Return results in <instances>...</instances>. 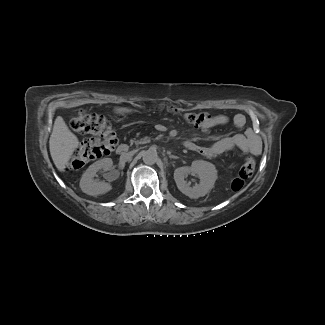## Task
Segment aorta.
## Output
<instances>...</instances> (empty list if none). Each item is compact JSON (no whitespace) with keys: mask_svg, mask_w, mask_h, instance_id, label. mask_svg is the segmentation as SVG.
Returning <instances> with one entry per match:
<instances>
[{"mask_svg":"<svg viewBox=\"0 0 325 325\" xmlns=\"http://www.w3.org/2000/svg\"><path fill=\"white\" fill-rule=\"evenodd\" d=\"M142 159L145 164L152 165L158 160V154L156 150L148 149L142 151Z\"/></svg>","mask_w":325,"mask_h":325,"instance_id":"762f6f07","label":"aorta"}]
</instances>
